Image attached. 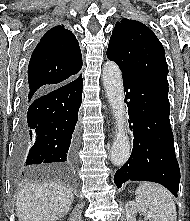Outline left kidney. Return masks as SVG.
Returning a JSON list of instances; mask_svg holds the SVG:
<instances>
[{"label": "left kidney", "mask_w": 190, "mask_h": 221, "mask_svg": "<svg viewBox=\"0 0 190 221\" xmlns=\"http://www.w3.org/2000/svg\"><path fill=\"white\" fill-rule=\"evenodd\" d=\"M125 211H126V220L127 221H136V214H142L147 218L149 221H159L158 217L147 210L146 208H143L136 204L133 201H129L125 205Z\"/></svg>", "instance_id": "obj_1"}]
</instances>
